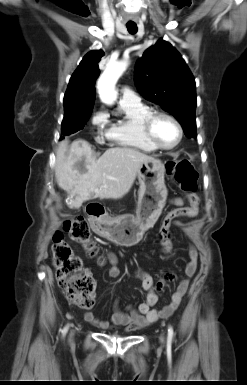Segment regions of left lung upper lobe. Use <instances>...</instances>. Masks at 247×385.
<instances>
[{
	"label": "left lung upper lobe",
	"instance_id": "left-lung-upper-lobe-1",
	"mask_svg": "<svg viewBox=\"0 0 247 385\" xmlns=\"http://www.w3.org/2000/svg\"><path fill=\"white\" fill-rule=\"evenodd\" d=\"M135 84L140 94L173 114L187 137L196 138V87L182 56L160 39L136 64Z\"/></svg>",
	"mask_w": 247,
	"mask_h": 385
}]
</instances>
